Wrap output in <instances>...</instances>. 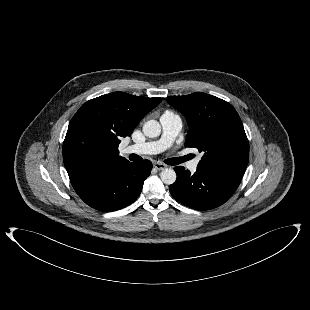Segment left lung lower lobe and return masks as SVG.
I'll return each mask as SVG.
<instances>
[{
	"label": "left lung lower lobe",
	"mask_w": 310,
	"mask_h": 310,
	"mask_svg": "<svg viewBox=\"0 0 310 310\" xmlns=\"http://www.w3.org/2000/svg\"><path fill=\"white\" fill-rule=\"evenodd\" d=\"M177 180L170 185L171 195L180 203L197 210H209L225 203L236 191L241 178L211 169L194 174L182 166L174 168Z\"/></svg>",
	"instance_id": "0a47b994"
}]
</instances>
